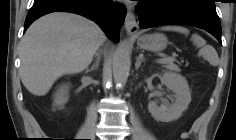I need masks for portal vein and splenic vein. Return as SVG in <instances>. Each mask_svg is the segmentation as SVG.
Here are the masks:
<instances>
[{
	"label": "portal vein and splenic vein",
	"mask_w": 236,
	"mask_h": 140,
	"mask_svg": "<svg viewBox=\"0 0 236 140\" xmlns=\"http://www.w3.org/2000/svg\"><path fill=\"white\" fill-rule=\"evenodd\" d=\"M158 62H173L175 61V57L164 56L157 60Z\"/></svg>",
	"instance_id": "1"
}]
</instances>
